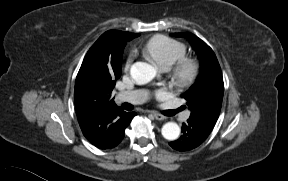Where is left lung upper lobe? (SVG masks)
I'll use <instances>...</instances> for the list:
<instances>
[{"label":"left lung upper lobe","mask_w":288,"mask_h":181,"mask_svg":"<svg viewBox=\"0 0 288 181\" xmlns=\"http://www.w3.org/2000/svg\"><path fill=\"white\" fill-rule=\"evenodd\" d=\"M172 35L188 39L200 60V74L194 85L184 94L191 111L190 118L215 125L220 114L224 92L218 60L213 50L194 34L175 33Z\"/></svg>","instance_id":"1"}]
</instances>
